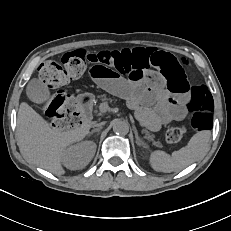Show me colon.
Wrapping results in <instances>:
<instances>
[{"label":"colon","instance_id":"obj_1","mask_svg":"<svg viewBox=\"0 0 231 231\" xmlns=\"http://www.w3.org/2000/svg\"><path fill=\"white\" fill-rule=\"evenodd\" d=\"M61 64L49 60L39 68L41 80L48 87L59 88L71 79L81 76L89 64L113 68L129 77H141L148 71L159 73L170 92L184 95L186 107L192 114V127L197 131L207 130L213 122V99L208 88L190 85L185 68L188 62L183 57L154 48H132L113 51L88 52L77 49L67 52ZM45 113L54 128L63 129L80 122L74 101L65 93L53 97L45 107ZM186 132L183 125L173 126L166 132L169 144H178Z\"/></svg>","mask_w":231,"mask_h":231}]
</instances>
